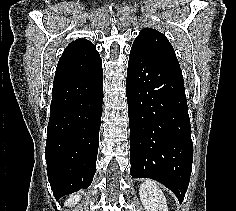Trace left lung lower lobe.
<instances>
[{"mask_svg": "<svg viewBox=\"0 0 236 211\" xmlns=\"http://www.w3.org/2000/svg\"><path fill=\"white\" fill-rule=\"evenodd\" d=\"M130 174L168 187L182 203L193 145L180 67L131 51L127 69Z\"/></svg>", "mask_w": 236, "mask_h": 211, "instance_id": "1", "label": "left lung lower lobe"}]
</instances>
